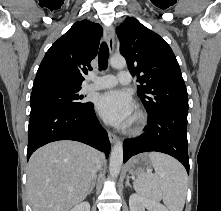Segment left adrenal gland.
I'll use <instances>...</instances> for the list:
<instances>
[{
	"label": "left adrenal gland",
	"mask_w": 221,
	"mask_h": 211,
	"mask_svg": "<svg viewBox=\"0 0 221 211\" xmlns=\"http://www.w3.org/2000/svg\"><path fill=\"white\" fill-rule=\"evenodd\" d=\"M125 186H128V187L131 188V185H130V183H129V176H128V175L126 176V183H125Z\"/></svg>",
	"instance_id": "1"
}]
</instances>
